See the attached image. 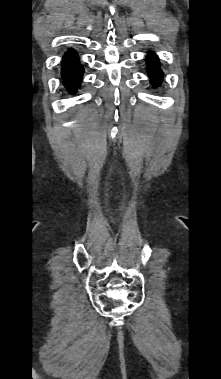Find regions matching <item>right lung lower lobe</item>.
Returning <instances> with one entry per match:
<instances>
[{
    "mask_svg": "<svg viewBox=\"0 0 221 379\" xmlns=\"http://www.w3.org/2000/svg\"><path fill=\"white\" fill-rule=\"evenodd\" d=\"M83 67L79 63L77 54L71 50L67 52L62 61V77L65 87L75 92L80 85Z\"/></svg>",
    "mask_w": 221,
    "mask_h": 379,
    "instance_id": "right-lung-lower-lobe-1",
    "label": "right lung lower lobe"
}]
</instances>
